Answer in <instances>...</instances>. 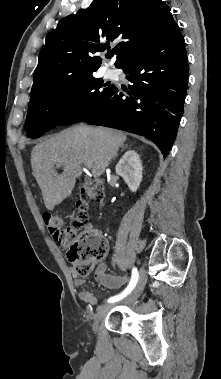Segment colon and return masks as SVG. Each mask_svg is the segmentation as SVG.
<instances>
[{
    "label": "colon",
    "instance_id": "obj_1",
    "mask_svg": "<svg viewBox=\"0 0 221 379\" xmlns=\"http://www.w3.org/2000/svg\"><path fill=\"white\" fill-rule=\"evenodd\" d=\"M104 198L101 185L82 189L76 205L78 213L68 226H64L61 215H43L49 233L60 246L67 249L69 262L80 276L91 274L95 264L106 254V242L100 231L91 225L88 213L90 202L102 203Z\"/></svg>",
    "mask_w": 221,
    "mask_h": 379
}]
</instances>
